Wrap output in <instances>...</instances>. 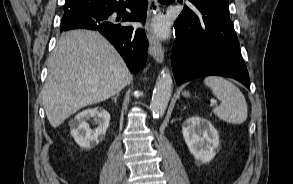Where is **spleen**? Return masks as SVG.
Segmentation results:
<instances>
[{
    "label": "spleen",
    "instance_id": "3e777b00",
    "mask_svg": "<svg viewBox=\"0 0 293 184\" xmlns=\"http://www.w3.org/2000/svg\"><path fill=\"white\" fill-rule=\"evenodd\" d=\"M204 84L221 101V104L213 109L218 118L233 124H242L246 121L247 103L236 85L220 76L206 77Z\"/></svg>",
    "mask_w": 293,
    "mask_h": 184
}]
</instances>
